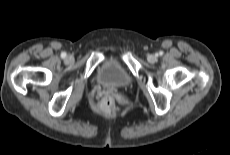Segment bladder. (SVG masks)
<instances>
[{
	"mask_svg": "<svg viewBox=\"0 0 230 155\" xmlns=\"http://www.w3.org/2000/svg\"><path fill=\"white\" fill-rule=\"evenodd\" d=\"M96 77L101 85L110 88H127L133 84L131 73L116 57L105 59L98 67Z\"/></svg>",
	"mask_w": 230,
	"mask_h": 155,
	"instance_id": "obj_1",
	"label": "bladder"
}]
</instances>
